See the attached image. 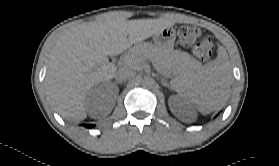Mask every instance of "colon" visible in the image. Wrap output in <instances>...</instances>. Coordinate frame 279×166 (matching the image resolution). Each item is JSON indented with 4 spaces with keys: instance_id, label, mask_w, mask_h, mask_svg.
<instances>
[{
    "instance_id": "colon-1",
    "label": "colon",
    "mask_w": 279,
    "mask_h": 166,
    "mask_svg": "<svg viewBox=\"0 0 279 166\" xmlns=\"http://www.w3.org/2000/svg\"><path fill=\"white\" fill-rule=\"evenodd\" d=\"M178 37L181 44L189 48L195 57L201 61L212 59L211 42L201 37V30L195 26H181L178 28Z\"/></svg>"
}]
</instances>
